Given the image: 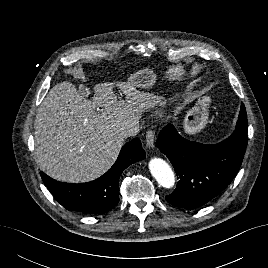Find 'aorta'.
Masks as SVG:
<instances>
[{
  "instance_id": "762f6f07",
  "label": "aorta",
  "mask_w": 268,
  "mask_h": 268,
  "mask_svg": "<svg viewBox=\"0 0 268 268\" xmlns=\"http://www.w3.org/2000/svg\"><path fill=\"white\" fill-rule=\"evenodd\" d=\"M149 170L156 181L164 188H171L175 183V176L166 161L161 158H152L149 161Z\"/></svg>"
}]
</instances>
